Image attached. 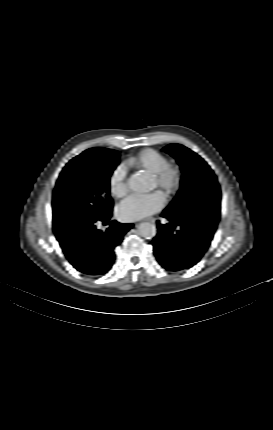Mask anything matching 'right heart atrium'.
<instances>
[{"mask_svg": "<svg viewBox=\"0 0 273 430\" xmlns=\"http://www.w3.org/2000/svg\"><path fill=\"white\" fill-rule=\"evenodd\" d=\"M111 194L116 198L124 197L128 193L126 169L123 165L116 166L109 176Z\"/></svg>", "mask_w": 273, "mask_h": 430, "instance_id": "1", "label": "right heart atrium"}]
</instances>
